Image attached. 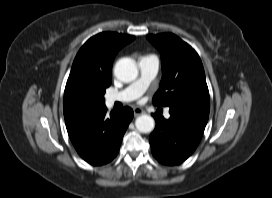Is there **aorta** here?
Segmentation results:
<instances>
[{
    "label": "aorta",
    "mask_w": 272,
    "mask_h": 198,
    "mask_svg": "<svg viewBox=\"0 0 272 198\" xmlns=\"http://www.w3.org/2000/svg\"><path fill=\"white\" fill-rule=\"evenodd\" d=\"M114 74L122 82L133 81L138 76L136 62L130 58L118 60L114 67ZM135 126L139 132L149 133L154 129L155 121L150 115L143 114L136 119Z\"/></svg>",
    "instance_id": "aorta-1"
}]
</instances>
